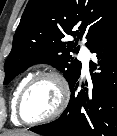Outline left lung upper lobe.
Here are the masks:
<instances>
[{
	"label": "left lung upper lobe",
	"instance_id": "1",
	"mask_svg": "<svg viewBox=\"0 0 117 136\" xmlns=\"http://www.w3.org/2000/svg\"><path fill=\"white\" fill-rule=\"evenodd\" d=\"M117 21V0H29L6 59L4 84L36 63H48L63 72L71 85L80 75L77 41L87 39L90 49Z\"/></svg>",
	"mask_w": 117,
	"mask_h": 136
}]
</instances>
